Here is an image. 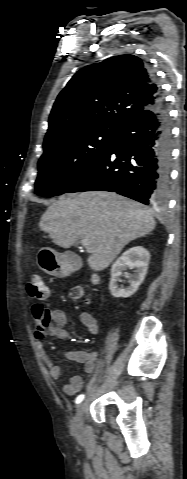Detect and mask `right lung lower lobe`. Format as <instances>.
<instances>
[{"label":"right lung lower lobe","instance_id":"right-lung-lower-lobe-1","mask_svg":"<svg viewBox=\"0 0 187 479\" xmlns=\"http://www.w3.org/2000/svg\"><path fill=\"white\" fill-rule=\"evenodd\" d=\"M171 151L170 119L161 95L155 105L121 127L108 150L65 193L111 191L146 205H161L169 190Z\"/></svg>","mask_w":187,"mask_h":479}]
</instances>
